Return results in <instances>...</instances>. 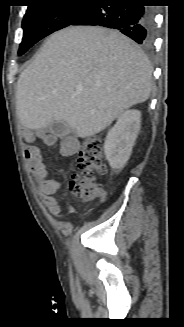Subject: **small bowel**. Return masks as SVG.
Listing matches in <instances>:
<instances>
[{"label":"small bowel","mask_w":184,"mask_h":327,"mask_svg":"<svg viewBox=\"0 0 184 327\" xmlns=\"http://www.w3.org/2000/svg\"><path fill=\"white\" fill-rule=\"evenodd\" d=\"M22 131L27 140H31L33 138L34 134L30 130L23 128ZM35 136L43 139L48 145H58L60 152L65 156L73 155L78 148V142L74 138L66 137L57 142L56 138L47 134L44 129L36 131ZM24 156L28 161L32 172L40 180L44 202L50 213L55 217H60L62 214L63 205L61 201L55 198V194L60 189L59 180L45 168V164L38 147H26L24 150Z\"/></svg>","instance_id":"1"}]
</instances>
